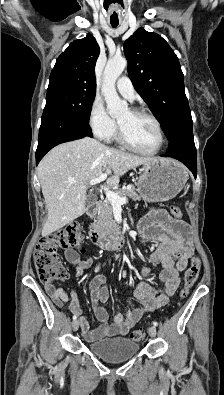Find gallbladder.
Masks as SVG:
<instances>
[{
    "label": "gallbladder",
    "instance_id": "obj_1",
    "mask_svg": "<svg viewBox=\"0 0 224 395\" xmlns=\"http://www.w3.org/2000/svg\"><path fill=\"white\" fill-rule=\"evenodd\" d=\"M95 201V196L93 195H87L86 198V206H89L90 204H92Z\"/></svg>",
    "mask_w": 224,
    "mask_h": 395
}]
</instances>
